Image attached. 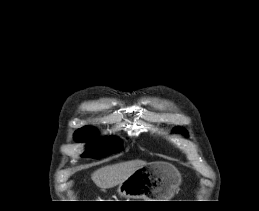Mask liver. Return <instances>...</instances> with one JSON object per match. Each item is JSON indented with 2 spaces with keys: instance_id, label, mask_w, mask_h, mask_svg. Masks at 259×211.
Here are the masks:
<instances>
[{
  "instance_id": "obj_1",
  "label": "liver",
  "mask_w": 259,
  "mask_h": 211,
  "mask_svg": "<svg viewBox=\"0 0 259 211\" xmlns=\"http://www.w3.org/2000/svg\"><path fill=\"white\" fill-rule=\"evenodd\" d=\"M146 165V161L131 160L104 166L93 172L91 179L101 189L112 188L124 182L135 170Z\"/></svg>"
}]
</instances>
